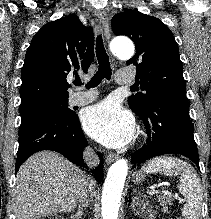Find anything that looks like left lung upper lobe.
I'll use <instances>...</instances> for the list:
<instances>
[{"label":"left lung upper lobe","mask_w":211,"mask_h":219,"mask_svg":"<svg viewBox=\"0 0 211 219\" xmlns=\"http://www.w3.org/2000/svg\"><path fill=\"white\" fill-rule=\"evenodd\" d=\"M111 25L116 35H126L135 43V56L126 65L136 66L137 83L145 91L128 98L137 115L144 113L155 97L186 96L178 45L165 24L155 17L128 10L116 14Z\"/></svg>","instance_id":"1"}]
</instances>
